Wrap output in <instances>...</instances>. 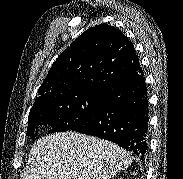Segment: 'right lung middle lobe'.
Segmentation results:
<instances>
[{
  "label": "right lung middle lobe",
  "instance_id": "obj_1",
  "mask_svg": "<svg viewBox=\"0 0 183 179\" xmlns=\"http://www.w3.org/2000/svg\"><path fill=\"white\" fill-rule=\"evenodd\" d=\"M101 94H85L78 97H60L32 107L28 118L27 136L34 138L38 126H51L49 132L75 131L96 113Z\"/></svg>",
  "mask_w": 183,
  "mask_h": 179
}]
</instances>
